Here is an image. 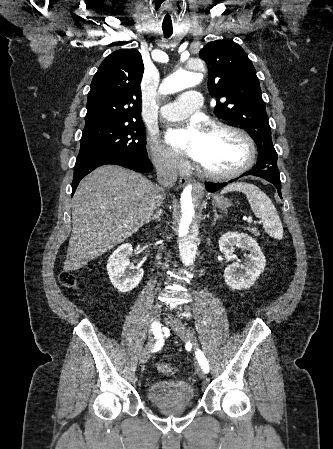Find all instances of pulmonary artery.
Returning a JSON list of instances; mask_svg holds the SVG:
<instances>
[{
  "label": "pulmonary artery",
  "mask_w": 333,
  "mask_h": 449,
  "mask_svg": "<svg viewBox=\"0 0 333 449\" xmlns=\"http://www.w3.org/2000/svg\"><path fill=\"white\" fill-rule=\"evenodd\" d=\"M202 95L195 90L182 93L177 100L169 102L161 107V116L170 121L184 119L194 110L200 108Z\"/></svg>",
  "instance_id": "obj_1"
}]
</instances>
